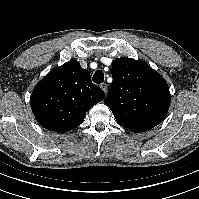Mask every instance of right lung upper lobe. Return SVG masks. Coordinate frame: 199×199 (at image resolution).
I'll return each instance as SVG.
<instances>
[{
	"mask_svg": "<svg viewBox=\"0 0 199 199\" xmlns=\"http://www.w3.org/2000/svg\"><path fill=\"white\" fill-rule=\"evenodd\" d=\"M104 97V91L92 83L90 73L78 61L70 60L35 86L31 108L42 127L64 133L80 125L85 113Z\"/></svg>",
	"mask_w": 199,
	"mask_h": 199,
	"instance_id": "right-lung-upper-lobe-1",
	"label": "right lung upper lobe"
}]
</instances>
